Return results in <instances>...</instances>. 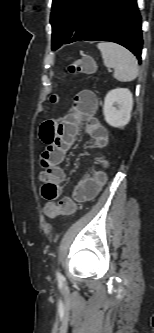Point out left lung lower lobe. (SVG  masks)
<instances>
[{"label":"left lung lower lobe","instance_id":"1","mask_svg":"<svg viewBox=\"0 0 154 333\" xmlns=\"http://www.w3.org/2000/svg\"><path fill=\"white\" fill-rule=\"evenodd\" d=\"M80 40L118 43L141 63L143 40L136 0H97L68 43Z\"/></svg>","mask_w":154,"mask_h":333}]
</instances>
